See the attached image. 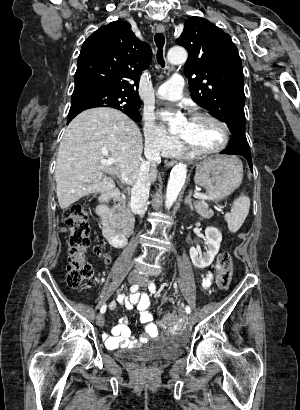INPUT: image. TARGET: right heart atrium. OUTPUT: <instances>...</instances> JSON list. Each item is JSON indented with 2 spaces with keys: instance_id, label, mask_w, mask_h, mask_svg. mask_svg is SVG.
<instances>
[{
  "instance_id": "right-heart-atrium-1",
  "label": "right heart atrium",
  "mask_w": 300,
  "mask_h": 410,
  "mask_svg": "<svg viewBox=\"0 0 300 410\" xmlns=\"http://www.w3.org/2000/svg\"><path fill=\"white\" fill-rule=\"evenodd\" d=\"M143 133L145 149L149 154L167 156L179 147L178 139L150 118H144Z\"/></svg>"
}]
</instances>
